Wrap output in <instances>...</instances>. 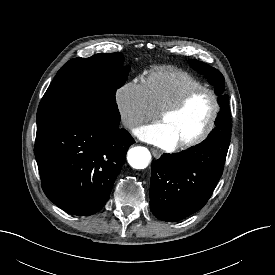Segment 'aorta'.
Segmentation results:
<instances>
[{
  "label": "aorta",
  "mask_w": 275,
  "mask_h": 275,
  "mask_svg": "<svg viewBox=\"0 0 275 275\" xmlns=\"http://www.w3.org/2000/svg\"><path fill=\"white\" fill-rule=\"evenodd\" d=\"M127 160L131 167L145 169L149 165L151 154L147 148L136 146L129 149Z\"/></svg>",
  "instance_id": "obj_1"
}]
</instances>
